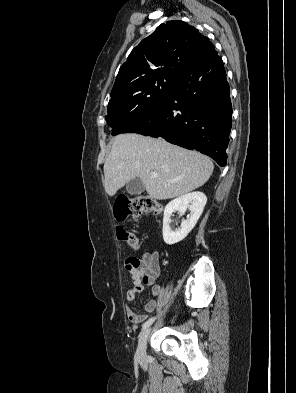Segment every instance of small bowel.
<instances>
[{
	"label": "small bowel",
	"mask_w": 296,
	"mask_h": 393,
	"mask_svg": "<svg viewBox=\"0 0 296 393\" xmlns=\"http://www.w3.org/2000/svg\"><path fill=\"white\" fill-rule=\"evenodd\" d=\"M125 268L132 280L133 287L126 293L127 317L135 325L143 323L147 319L146 314L135 313L130 304L135 301L136 295L143 292L145 285L152 286V294H161V287L155 284L156 278L160 273L159 255L157 251L144 252L140 257H128L125 260ZM157 308V301L149 300L144 305L146 313H152Z\"/></svg>",
	"instance_id": "c3829d8e"
}]
</instances>
